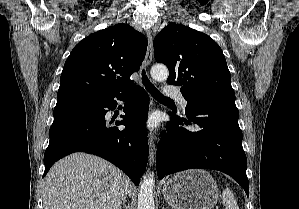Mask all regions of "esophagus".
<instances>
[{
    "label": "esophagus",
    "instance_id": "1",
    "mask_svg": "<svg viewBox=\"0 0 299 209\" xmlns=\"http://www.w3.org/2000/svg\"><path fill=\"white\" fill-rule=\"evenodd\" d=\"M147 40H148V46H147V52L145 56V66L149 67L153 57V38L150 31H147ZM148 144H149V164L153 165L156 156V146L154 142V136L152 133L149 134Z\"/></svg>",
    "mask_w": 299,
    "mask_h": 209
}]
</instances>
